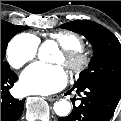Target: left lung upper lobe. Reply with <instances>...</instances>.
I'll use <instances>...</instances> for the list:
<instances>
[{
  "instance_id": "obj_1",
  "label": "left lung upper lobe",
  "mask_w": 121,
  "mask_h": 121,
  "mask_svg": "<svg viewBox=\"0 0 121 121\" xmlns=\"http://www.w3.org/2000/svg\"><path fill=\"white\" fill-rule=\"evenodd\" d=\"M60 28L84 35L93 45L94 56L75 85L101 84L121 95V44L116 36L90 20L68 22Z\"/></svg>"
}]
</instances>
